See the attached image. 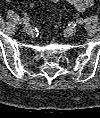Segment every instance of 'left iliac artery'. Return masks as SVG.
<instances>
[{
  "label": "left iliac artery",
  "mask_w": 100,
  "mask_h": 118,
  "mask_svg": "<svg viewBox=\"0 0 100 118\" xmlns=\"http://www.w3.org/2000/svg\"><path fill=\"white\" fill-rule=\"evenodd\" d=\"M77 24L79 25H83L84 24V20L82 18H79L77 21ZM76 25V24H75Z\"/></svg>",
  "instance_id": "1"
}]
</instances>
